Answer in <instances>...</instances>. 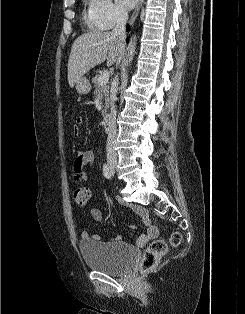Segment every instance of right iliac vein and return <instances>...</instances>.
I'll return each instance as SVG.
<instances>
[{
    "label": "right iliac vein",
    "instance_id": "63e3f726",
    "mask_svg": "<svg viewBox=\"0 0 245 314\" xmlns=\"http://www.w3.org/2000/svg\"><path fill=\"white\" fill-rule=\"evenodd\" d=\"M109 167H110L111 171H114V172H115V170H116V164H115L114 162H110V163H109Z\"/></svg>",
    "mask_w": 245,
    "mask_h": 314
}]
</instances>
